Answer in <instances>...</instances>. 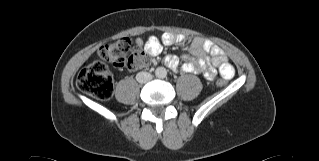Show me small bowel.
I'll return each mask as SVG.
<instances>
[{
  "label": "small bowel",
  "mask_w": 319,
  "mask_h": 161,
  "mask_svg": "<svg viewBox=\"0 0 319 161\" xmlns=\"http://www.w3.org/2000/svg\"><path fill=\"white\" fill-rule=\"evenodd\" d=\"M137 44L143 46L151 55H157L161 50V43L166 45H172L178 43L179 45L186 47L189 46L193 56L198 59H193L191 63H185L182 67L179 65V60L176 57H169L166 60V65L174 72L179 69L186 73L190 72H203V75L207 79H213L215 76L214 70L205 71L207 61L205 59L206 53L210 52L213 56V66L218 69L220 75L226 79H230L234 75L233 66L227 61L223 50L213 45L209 41H202L200 39L192 40L186 35L175 36L170 33H164L159 39L157 36H150L147 39H137Z\"/></svg>",
  "instance_id": "1"
}]
</instances>
